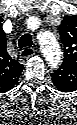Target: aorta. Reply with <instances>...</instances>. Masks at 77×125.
<instances>
[{
  "label": "aorta",
  "instance_id": "obj_1",
  "mask_svg": "<svg viewBox=\"0 0 77 125\" xmlns=\"http://www.w3.org/2000/svg\"><path fill=\"white\" fill-rule=\"evenodd\" d=\"M44 57L51 67H57L61 62V50L56 38L48 32L39 35Z\"/></svg>",
  "mask_w": 77,
  "mask_h": 125
}]
</instances>
